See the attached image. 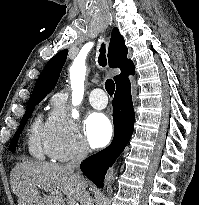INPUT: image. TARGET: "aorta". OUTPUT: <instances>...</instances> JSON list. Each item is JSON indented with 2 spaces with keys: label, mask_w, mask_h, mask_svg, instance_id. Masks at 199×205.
Returning a JSON list of instances; mask_svg holds the SVG:
<instances>
[{
  "label": "aorta",
  "mask_w": 199,
  "mask_h": 205,
  "mask_svg": "<svg viewBox=\"0 0 199 205\" xmlns=\"http://www.w3.org/2000/svg\"><path fill=\"white\" fill-rule=\"evenodd\" d=\"M85 75L86 67L84 65L74 64L70 69L72 101L74 104H80L83 99ZM72 116L77 118L78 113L74 111Z\"/></svg>",
  "instance_id": "aorta-1"
}]
</instances>
